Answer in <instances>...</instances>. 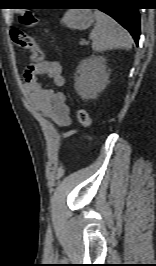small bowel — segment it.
Listing matches in <instances>:
<instances>
[{
	"label": "small bowel",
	"mask_w": 156,
	"mask_h": 266,
	"mask_svg": "<svg viewBox=\"0 0 156 266\" xmlns=\"http://www.w3.org/2000/svg\"><path fill=\"white\" fill-rule=\"evenodd\" d=\"M40 76L50 78L57 87L63 86L65 79L60 62L44 60L38 64L29 65L24 72V89L29 95V101L33 108L41 111L57 126H69L71 118L66 96L62 92L44 87L40 82Z\"/></svg>",
	"instance_id": "1"
}]
</instances>
